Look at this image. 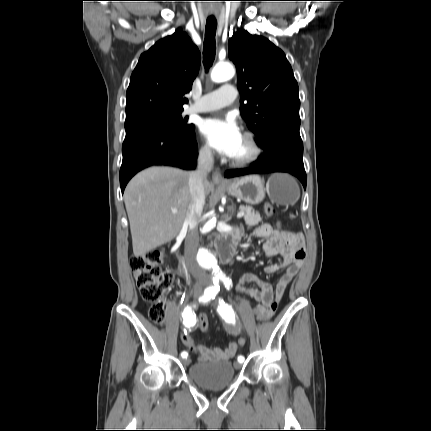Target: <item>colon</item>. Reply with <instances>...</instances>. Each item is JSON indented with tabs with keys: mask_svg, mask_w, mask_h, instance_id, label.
I'll list each match as a JSON object with an SVG mask.
<instances>
[{
	"mask_svg": "<svg viewBox=\"0 0 431 431\" xmlns=\"http://www.w3.org/2000/svg\"><path fill=\"white\" fill-rule=\"evenodd\" d=\"M265 213L268 216L275 214V208L271 203L265 205ZM163 257L159 251H149L143 255L134 256L131 258L130 264L136 285L140 291L142 298L149 303V317L158 324L162 325L166 319L167 307L162 299L163 293L173 283V272L168 268L162 267ZM254 317L260 316V311L253 307ZM208 312L201 309L198 312L200 319V327L203 331L208 329L209 319ZM245 334L241 333L237 337L238 347H244L247 344ZM180 341L186 350H193L196 341L191 338L190 333L182 331ZM241 351L237 350V355Z\"/></svg>",
	"mask_w": 431,
	"mask_h": 431,
	"instance_id": "1",
	"label": "colon"
}]
</instances>
